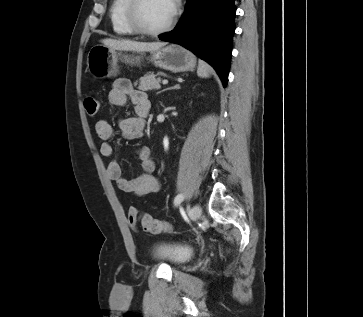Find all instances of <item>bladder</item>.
Instances as JSON below:
<instances>
[{"mask_svg":"<svg viewBox=\"0 0 363 317\" xmlns=\"http://www.w3.org/2000/svg\"><path fill=\"white\" fill-rule=\"evenodd\" d=\"M150 255L155 261L176 267L189 261L193 256V250L186 245L156 242L151 246Z\"/></svg>","mask_w":363,"mask_h":317,"instance_id":"obj_1","label":"bladder"}]
</instances>
